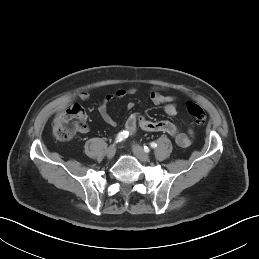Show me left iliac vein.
Returning <instances> with one entry per match:
<instances>
[{
    "mask_svg": "<svg viewBox=\"0 0 259 259\" xmlns=\"http://www.w3.org/2000/svg\"><path fill=\"white\" fill-rule=\"evenodd\" d=\"M132 151L136 155V157L142 162H148L150 160V156L145 152V150L138 144H133Z\"/></svg>",
    "mask_w": 259,
    "mask_h": 259,
    "instance_id": "4c4485c4",
    "label": "left iliac vein"
}]
</instances>
